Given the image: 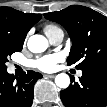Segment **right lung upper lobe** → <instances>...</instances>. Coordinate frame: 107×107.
I'll return each mask as SVG.
<instances>
[{"mask_svg": "<svg viewBox=\"0 0 107 107\" xmlns=\"http://www.w3.org/2000/svg\"><path fill=\"white\" fill-rule=\"evenodd\" d=\"M41 14L23 13L10 7H0V31L14 44H23L26 34L40 19Z\"/></svg>", "mask_w": 107, "mask_h": 107, "instance_id": "cb5924a9", "label": "right lung upper lobe"}]
</instances>
